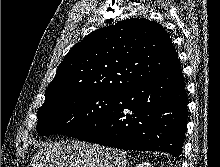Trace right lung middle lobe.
Returning <instances> with one entry per match:
<instances>
[{
	"label": "right lung middle lobe",
	"mask_w": 220,
	"mask_h": 167,
	"mask_svg": "<svg viewBox=\"0 0 220 167\" xmlns=\"http://www.w3.org/2000/svg\"><path fill=\"white\" fill-rule=\"evenodd\" d=\"M117 92L78 90L48 101L38 109L37 132L77 138L93 128L111 108Z\"/></svg>",
	"instance_id": "1"
}]
</instances>
